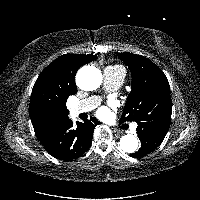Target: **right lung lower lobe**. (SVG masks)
Masks as SVG:
<instances>
[{"label":"right lung lower lobe","instance_id":"1","mask_svg":"<svg viewBox=\"0 0 200 200\" xmlns=\"http://www.w3.org/2000/svg\"><path fill=\"white\" fill-rule=\"evenodd\" d=\"M99 123L92 117L74 125L67 115L49 120L35 134L48 153L60 160L69 161L79 158L90 148L93 130Z\"/></svg>","mask_w":200,"mask_h":200}]
</instances>
